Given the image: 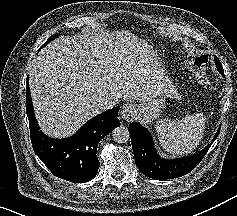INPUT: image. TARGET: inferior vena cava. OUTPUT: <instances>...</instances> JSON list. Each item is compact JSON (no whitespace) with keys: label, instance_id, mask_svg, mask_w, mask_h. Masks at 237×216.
Instances as JSON below:
<instances>
[{"label":"inferior vena cava","instance_id":"1","mask_svg":"<svg viewBox=\"0 0 237 216\" xmlns=\"http://www.w3.org/2000/svg\"><path fill=\"white\" fill-rule=\"evenodd\" d=\"M117 103H118V99H110L108 96L101 97V99H100V104H101L102 110L110 109V108L116 106Z\"/></svg>","mask_w":237,"mask_h":216}]
</instances>
